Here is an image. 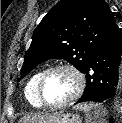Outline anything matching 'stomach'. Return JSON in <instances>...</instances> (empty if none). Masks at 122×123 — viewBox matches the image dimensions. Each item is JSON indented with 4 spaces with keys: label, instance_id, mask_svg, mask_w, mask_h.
Here are the masks:
<instances>
[{
    "label": "stomach",
    "instance_id": "stomach-1",
    "mask_svg": "<svg viewBox=\"0 0 122 123\" xmlns=\"http://www.w3.org/2000/svg\"><path fill=\"white\" fill-rule=\"evenodd\" d=\"M43 123H82V118L77 114L55 112Z\"/></svg>",
    "mask_w": 122,
    "mask_h": 123
}]
</instances>
